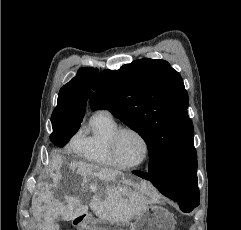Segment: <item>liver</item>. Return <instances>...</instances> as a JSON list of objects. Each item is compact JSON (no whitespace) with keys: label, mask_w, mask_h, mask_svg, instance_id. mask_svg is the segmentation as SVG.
Returning a JSON list of instances; mask_svg holds the SVG:
<instances>
[{"label":"liver","mask_w":241,"mask_h":230,"mask_svg":"<svg viewBox=\"0 0 241 230\" xmlns=\"http://www.w3.org/2000/svg\"><path fill=\"white\" fill-rule=\"evenodd\" d=\"M64 164L59 155L52 160L51 177L53 184L36 191L32 198V212L37 221L44 217V222L38 224L40 230H59L53 221L61 216L64 220H73L88 212V205H84L79 197H67L66 203L54 198L50 187L61 185L69 190L71 184H76V178L82 177L80 184L82 193L93 192L90 207L101 220L110 222L129 223L139 217L152 203L151 193L145 184H133L126 181L116 184V176L121 172L97 165H89L73 161L67 164V169L61 174ZM56 171V173H53ZM62 181V182H61Z\"/></svg>","instance_id":"liver-1"}]
</instances>
